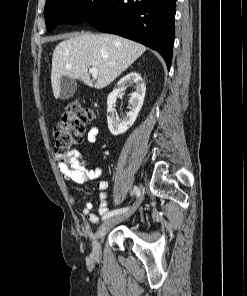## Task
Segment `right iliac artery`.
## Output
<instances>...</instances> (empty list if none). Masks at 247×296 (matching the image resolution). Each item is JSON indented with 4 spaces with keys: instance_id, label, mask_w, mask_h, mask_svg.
I'll list each match as a JSON object with an SVG mask.
<instances>
[{
    "instance_id": "82829eb1",
    "label": "right iliac artery",
    "mask_w": 247,
    "mask_h": 296,
    "mask_svg": "<svg viewBox=\"0 0 247 296\" xmlns=\"http://www.w3.org/2000/svg\"><path fill=\"white\" fill-rule=\"evenodd\" d=\"M134 192L137 195V197L140 196V189L137 186H134ZM129 209V207H125V208H120V209H116V210H112L110 211L107 215L102 217V220H106L107 218H110L114 215L120 214V213H124Z\"/></svg>"
}]
</instances>
